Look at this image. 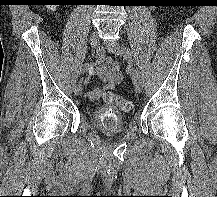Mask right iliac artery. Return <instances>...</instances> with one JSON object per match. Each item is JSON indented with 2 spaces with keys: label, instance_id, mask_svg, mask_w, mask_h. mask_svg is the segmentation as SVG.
<instances>
[{
  "label": "right iliac artery",
  "instance_id": "obj_1",
  "mask_svg": "<svg viewBox=\"0 0 217 197\" xmlns=\"http://www.w3.org/2000/svg\"><path fill=\"white\" fill-rule=\"evenodd\" d=\"M102 49L99 47V49H97L96 51V57L98 59V57L100 56V53H101ZM95 53V51H94ZM94 63H85L81 69H80V73L83 75L85 74L88 70H90L92 68Z\"/></svg>",
  "mask_w": 217,
  "mask_h": 197
}]
</instances>
